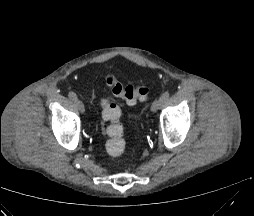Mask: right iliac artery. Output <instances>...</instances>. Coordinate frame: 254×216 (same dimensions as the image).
<instances>
[{"instance_id": "82829eb1", "label": "right iliac artery", "mask_w": 254, "mask_h": 216, "mask_svg": "<svg viewBox=\"0 0 254 216\" xmlns=\"http://www.w3.org/2000/svg\"><path fill=\"white\" fill-rule=\"evenodd\" d=\"M68 96L73 101L77 99V96H76V94L74 92H69Z\"/></svg>"}]
</instances>
